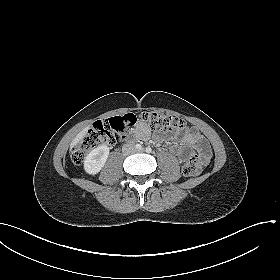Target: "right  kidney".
I'll list each match as a JSON object with an SVG mask.
<instances>
[{"label":"right kidney","instance_id":"ca27d5eb","mask_svg":"<svg viewBox=\"0 0 280 280\" xmlns=\"http://www.w3.org/2000/svg\"><path fill=\"white\" fill-rule=\"evenodd\" d=\"M109 156V147L101 145L93 149L84 159V170L89 175L98 174Z\"/></svg>","mask_w":280,"mask_h":280}]
</instances>
